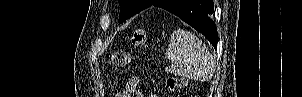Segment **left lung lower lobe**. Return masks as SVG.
I'll return each instance as SVG.
<instances>
[{"label":"left lung lower lobe","instance_id":"0a47b994","mask_svg":"<svg viewBox=\"0 0 302 97\" xmlns=\"http://www.w3.org/2000/svg\"><path fill=\"white\" fill-rule=\"evenodd\" d=\"M151 6L163 8L202 33L217 47V29L213 21V0H155Z\"/></svg>","mask_w":302,"mask_h":97}]
</instances>
